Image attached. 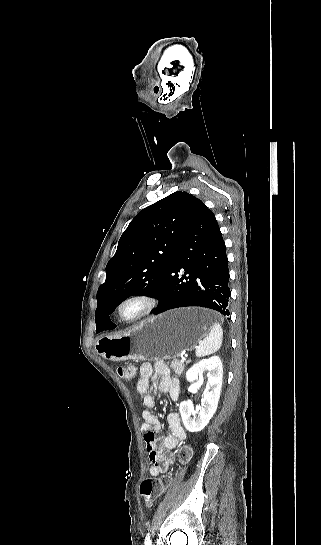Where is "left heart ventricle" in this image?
<instances>
[{
    "mask_svg": "<svg viewBox=\"0 0 321 545\" xmlns=\"http://www.w3.org/2000/svg\"><path fill=\"white\" fill-rule=\"evenodd\" d=\"M135 311H136L135 308L130 307V308H127L125 312H126L128 315H132V314L135 313Z\"/></svg>",
    "mask_w": 321,
    "mask_h": 545,
    "instance_id": "obj_1",
    "label": "left heart ventricle"
}]
</instances>
